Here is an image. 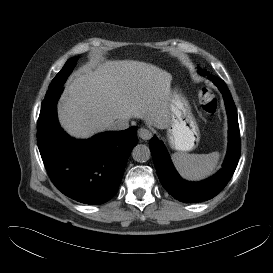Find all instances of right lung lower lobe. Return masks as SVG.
I'll use <instances>...</instances> for the list:
<instances>
[{"label":"right lung lower lobe","instance_id":"98d812e1","mask_svg":"<svg viewBox=\"0 0 273 273\" xmlns=\"http://www.w3.org/2000/svg\"><path fill=\"white\" fill-rule=\"evenodd\" d=\"M63 88L45 98L37 126V142L47 173L66 196L98 205L118 190L127 159L137 144L136 127L109 131L89 140L69 137L58 124L57 100Z\"/></svg>","mask_w":273,"mask_h":273}]
</instances>
